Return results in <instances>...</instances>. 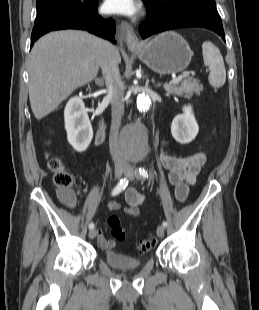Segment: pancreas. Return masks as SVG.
<instances>
[{
	"label": "pancreas",
	"instance_id": "cf45deb5",
	"mask_svg": "<svg viewBox=\"0 0 259 310\" xmlns=\"http://www.w3.org/2000/svg\"><path fill=\"white\" fill-rule=\"evenodd\" d=\"M165 90L169 94H175L186 99H190L193 95H200L203 86L197 79H185L178 84L165 85Z\"/></svg>",
	"mask_w": 259,
	"mask_h": 310
}]
</instances>
